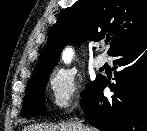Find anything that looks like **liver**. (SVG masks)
Returning <instances> with one entry per match:
<instances>
[{
	"instance_id": "obj_1",
	"label": "liver",
	"mask_w": 147,
	"mask_h": 131,
	"mask_svg": "<svg viewBox=\"0 0 147 131\" xmlns=\"http://www.w3.org/2000/svg\"><path fill=\"white\" fill-rule=\"evenodd\" d=\"M23 131H96L79 122H63L60 124H32L25 126Z\"/></svg>"
}]
</instances>
